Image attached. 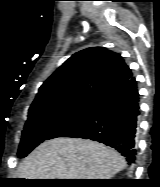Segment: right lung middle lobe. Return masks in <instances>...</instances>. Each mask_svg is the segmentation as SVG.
Masks as SVG:
<instances>
[{"label":"right lung middle lobe","instance_id":"obj_1","mask_svg":"<svg viewBox=\"0 0 160 187\" xmlns=\"http://www.w3.org/2000/svg\"><path fill=\"white\" fill-rule=\"evenodd\" d=\"M98 100L78 99L29 109L18 156L25 157L45 140L58 137L88 115Z\"/></svg>","mask_w":160,"mask_h":187}]
</instances>
